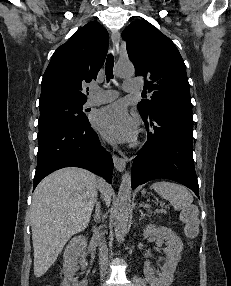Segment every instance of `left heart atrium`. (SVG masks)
Returning a JSON list of instances; mask_svg holds the SVG:
<instances>
[{
  "label": "left heart atrium",
  "instance_id": "39dd6f15",
  "mask_svg": "<svg viewBox=\"0 0 231 286\" xmlns=\"http://www.w3.org/2000/svg\"><path fill=\"white\" fill-rule=\"evenodd\" d=\"M95 127L109 141H131L136 134V122L122 103H114L99 110L94 118Z\"/></svg>",
  "mask_w": 231,
  "mask_h": 286
}]
</instances>
